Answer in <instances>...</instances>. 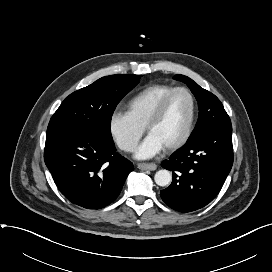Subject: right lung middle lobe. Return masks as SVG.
I'll return each instance as SVG.
<instances>
[{
  "mask_svg": "<svg viewBox=\"0 0 272 272\" xmlns=\"http://www.w3.org/2000/svg\"><path fill=\"white\" fill-rule=\"evenodd\" d=\"M140 78V75L131 74L106 76L73 92L53 114L46 140L65 133L90 131L113 143L110 130L113 112Z\"/></svg>",
  "mask_w": 272,
  "mask_h": 272,
  "instance_id": "1",
  "label": "right lung middle lobe"
}]
</instances>
